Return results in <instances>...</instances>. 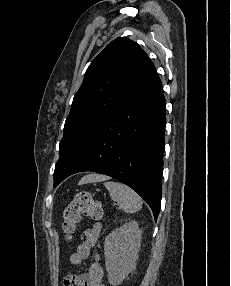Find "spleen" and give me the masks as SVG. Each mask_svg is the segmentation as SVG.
Here are the masks:
<instances>
[{
	"instance_id": "1",
	"label": "spleen",
	"mask_w": 231,
	"mask_h": 286,
	"mask_svg": "<svg viewBox=\"0 0 231 286\" xmlns=\"http://www.w3.org/2000/svg\"><path fill=\"white\" fill-rule=\"evenodd\" d=\"M104 186L108 190L111 199L117 202L119 208L124 212L134 213L141 208V197L127 185L114 181H106Z\"/></svg>"
}]
</instances>
